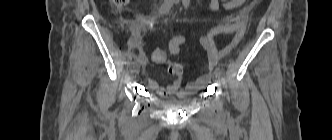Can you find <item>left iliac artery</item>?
<instances>
[{
	"instance_id": "left-iliac-artery-1",
	"label": "left iliac artery",
	"mask_w": 332,
	"mask_h": 140,
	"mask_svg": "<svg viewBox=\"0 0 332 140\" xmlns=\"http://www.w3.org/2000/svg\"><path fill=\"white\" fill-rule=\"evenodd\" d=\"M182 3H183V5H184L185 8H188L189 5H190V0H182ZM216 72H218L219 74H221L222 73L221 68L217 67L216 68Z\"/></svg>"
}]
</instances>
